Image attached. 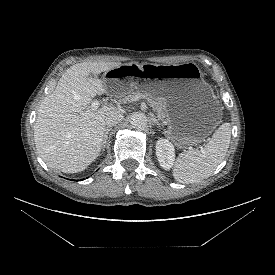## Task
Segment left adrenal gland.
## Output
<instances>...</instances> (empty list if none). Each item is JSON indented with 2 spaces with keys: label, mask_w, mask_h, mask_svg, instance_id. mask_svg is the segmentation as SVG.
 <instances>
[{
  "label": "left adrenal gland",
  "mask_w": 275,
  "mask_h": 275,
  "mask_svg": "<svg viewBox=\"0 0 275 275\" xmlns=\"http://www.w3.org/2000/svg\"><path fill=\"white\" fill-rule=\"evenodd\" d=\"M151 120H152L153 125H156L159 128V131H160L161 126H160L158 120L155 118V116H152Z\"/></svg>",
  "instance_id": "obj_1"
}]
</instances>
